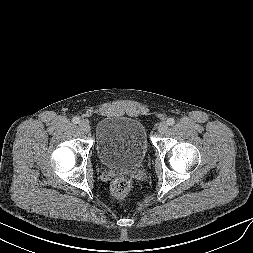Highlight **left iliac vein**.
<instances>
[{"instance_id":"1","label":"left iliac vein","mask_w":253,"mask_h":253,"mask_svg":"<svg viewBox=\"0 0 253 253\" xmlns=\"http://www.w3.org/2000/svg\"><path fill=\"white\" fill-rule=\"evenodd\" d=\"M168 129V124L166 122H161L158 126V132L164 134Z\"/></svg>"}]
</instances>
